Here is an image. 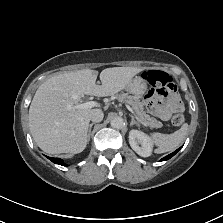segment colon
Segmentation results:
<instances>
[{"instance_id": "5ec220e1", "label": "colon", "mask_w": 223, "mask_h": 223, "mask_svg": "<svg viewBox=\"0 0 223 223\" xmlns=\"http://www.w3.org/2000/svg\"><path fill=\"white\" fill-rule=\"evenodd\" d=\"M142 77L151 85L167 87L169 90H175L176 86L174 85L172 77L159 70H149L143 73ZM185 122V117L182 113H176L172 118V123L175 126H181Z\"/></svg>"}]
</instances>
